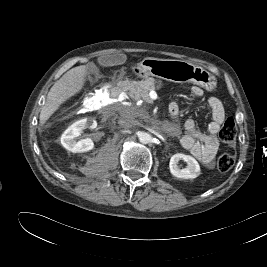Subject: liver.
Masks as SVG:
<instances>
[{
    "label": "liver",
    "mask_w": 267,
    "mask_h": 267,
    "mask_svg": "<svg viewBox=\"0 0 267 267\" xmlns=\"http://www.w3.org/2000/svg\"><path fill=\"white\" fill-rule=\"evenodd\" d=\"M87 67L77 66L67 71L48 92L46 102L40 112V125H44L53 113L71 97L79 93L86 82Z\"/></svg>",
    "instance_id": "6515ba94"
}]
</instances>
